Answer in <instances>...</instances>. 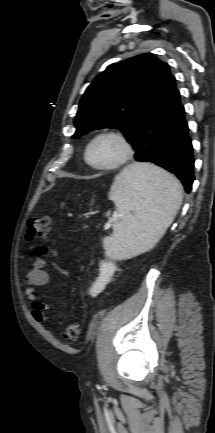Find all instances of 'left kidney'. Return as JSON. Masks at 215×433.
I'll return each mask as SVG.
<instances>
[{
    "instance_id": "5707ae66",
    "label": "left kidney",
    "mask_w": 215,
    "mask_h": 433,
    "mask_svg": "<svg viewBox=\"0 0 215 433\" xmlns=\"http://www.w3.org/2000/svg\"><path fill=\"white\" fill-rule=\"evenodd\" d=\"M116 270L117 267L114 264V262L102 260L100 262L99 277L96 279V281L90 288L89 294L92 297H96L100 292H102L105 289L106 284L110 282Z\"/></svg>"
}]
</instances>
